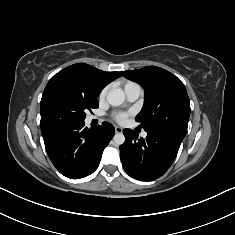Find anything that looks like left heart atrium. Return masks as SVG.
I'll list each match as a JSON object with an SVG mask.
<instances>
[{"instance_id": "1", "label": "left heart atrium", "mask_w": 235, "mask_h": 235, "mask_svg": "<svg viewBox=\"0 0 235 235\" xmlns=\"http://www.w3.org/2000/svg\"><path fill=\"white\" fill-rule=\"evenodd\" d=\"M127 118V113L124 112H116L114 114V119L120 123L124 122Z\"/></svg>"}]
</instances>
